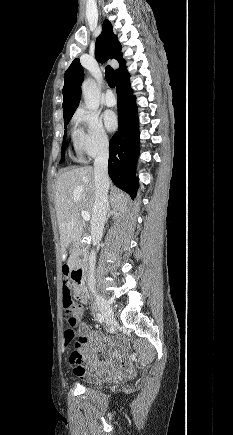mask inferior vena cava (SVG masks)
Wrapping results in <instances>:
<instances>
[{"instance_id":"inferior-vena-cava-1","label":"inferior vena cava","mask_w":233,"mask_h":435,"mask_svg":"<svg viewBox=\"0 0 233 435\" xmlns=\"http://www.w3.org/2000/svg\"><path fill=\"white\" fill-rule=\"evenodd\" d=\"M108 142H105L94 161V181H95V200L93 214L91 219V233L93 235H102L103 228L107 219L108 209ZM95 264L96 254L94 250L89 255V277L88 286L93 289L95 286Z\"/></svg>"}]
</instances>
